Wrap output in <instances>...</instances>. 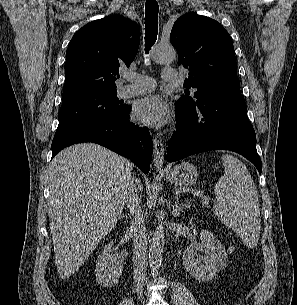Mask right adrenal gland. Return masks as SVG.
I'll return each instance as SVG.
<instances>
[{"mask_svg":"<svg viewBox=\"0 0 297 305\" xmlns=\"http://www.w3.org/2000/svg\"><path fill=\"white\" fill-rule=\"evenodd\" d=\"M124 217H125L126 219H129V218H130V215H124Z\"/></svg>","mask_w":297,"mask_h":305,"instance_id":"2a0ac1e0","label":"right adrenal gland"}]
</instances>
